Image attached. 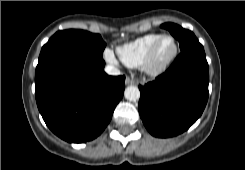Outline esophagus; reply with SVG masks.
<instances>
[{
    "instance_id": "1",
    "label": "esophagus",
    "mask_w": 245,
    "mask_h": 170,
    "mask_svg": "<svg viewBox=\"0 0 245 170\" xmlns=\"http://www.w3.org/2000/svg\"><path fill=\"white\" fill-rule=\"evenodd\" d=\"M125 83H126V85H132V84H135V81L133 79L127 77L125 79Z\"/></svg>"
}]
</instances>
